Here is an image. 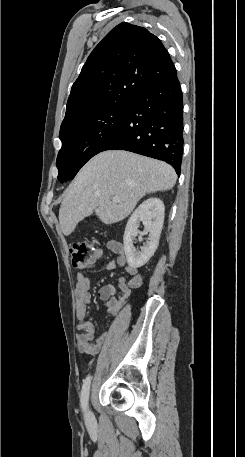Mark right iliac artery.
Segmentation results:
<instances>
[{"mask_svg": "<svg viewBox=\"0 0 245 457\" xmlns=\"http://www.w3.org/2000/svg\"><path fill=\"white\" fill-rule=\"evenodd\" d=\"M91 376H88L84 381L81 391V406L83 409H86L89 399V390H90Z\"/></svg>", "mask_w": 245, "mask_h": 457, "instance_id": "obj_1", "label": "right iliac artery"}]
</instances>
